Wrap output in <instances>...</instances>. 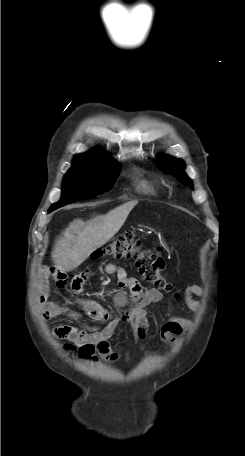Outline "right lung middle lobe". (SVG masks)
<instances>
[{
  "mask_svg": "<svg viewBox=\"0 0 245 456\" xmlns=\"http://www.w3.org/2000/svg\"><path fill=\"white\" fill-rule=\"evenodd\" d=\"M112 163L113 161L96 165H73L64 177L61 200L50 209L55 210L109 191L121 170L120 164Z\"/></svg>",
  "mask_w": 245,
  "mask_h": 456,
  "instance_id": "1",
  "label": "right lung middle lobe"
}]
</instances>
